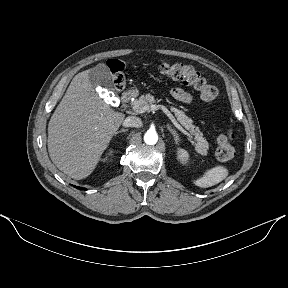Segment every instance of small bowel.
Segmentation results:
<instances>
[{"mask_svg":"<svg viewBox=\"0 0 288 288\" xmlns=\"http://www.w3.org/2000/svg\"><path fill=\"white\" fill-rule=\"evenodd\" d=\"M171 95L176 100L183 102V103H187V104L191 103L193 100L191 94H189L182 88H173L171 90Z\"/></svg>","mask_w":288,"mask_h":288,"instance_id":"1","label":"small bowel"}]
</instances>
